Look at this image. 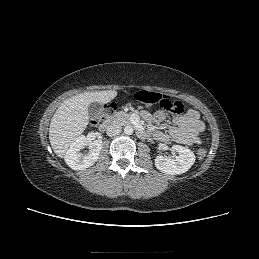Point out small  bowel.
<instances>
[{
  "mask_svg": "<svg viewBox=\"0 0 259 259\" xmlns=\"http://www.w3.org/2000/svg\"><path fill=\"white\" fill-rule=\"evenodd\" d=\"M142 118L154 124H161L165 119L163 111L143 110ZM204 130V124L200 120L197 111L188 109L184 114L173 119V125H164L154 133V137L162 142L172 140L183 145H197L200 143V134Z\"/></svg>",
  "mask_w": 259,
  "mask_h": 259,
  "instance_id": "small-bowel-1",
  "label": "small bowel"
}]
</instances>
